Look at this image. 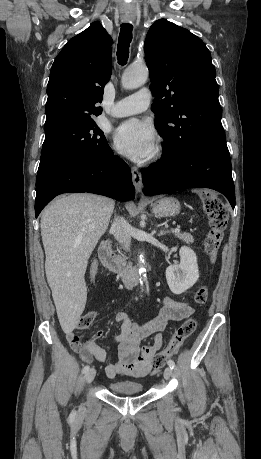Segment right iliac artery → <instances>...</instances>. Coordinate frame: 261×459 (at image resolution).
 Returning <instances> with one entry per match:
<instances>
[{
	"label": "right iliac artery",
	"instance_id": "obj_1",
	"mask_svg": "<svg viewBox=\"0 0 261 459\" xmlns=\"http://www.w3.org/2000/svg\"><path fill=\"white\" fill-rule=\"evenodd\" d=\"M89 369H90V367H89L88 365H86V366L82 369V372H83V373H86Z\"/></svg>",
	"mask_w": 261,
	"mask_h": 459
}]
</instances>
